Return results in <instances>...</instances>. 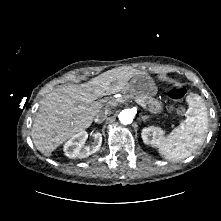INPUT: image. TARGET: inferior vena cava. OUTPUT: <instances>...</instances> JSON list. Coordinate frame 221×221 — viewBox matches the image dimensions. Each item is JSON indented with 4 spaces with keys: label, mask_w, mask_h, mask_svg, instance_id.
<instances>
[{
    "label": "inferior vena cava",
    "mask_w": 221,
    "mask_h": 221,
    "mask_svg": "<svg viewBox=\"0 0 221 221\" xmlns=\"http://www.w3.org/2000/svg\"><path fill=\"white\" fill-rule=\"evenodd\" d=\"M109 113H110L109 110L100 111L99 113L96 114L94 121L99 124L102 123L107 118V115Z\"/></svg>",
    "instance_id": "1"
}]
</instances>
